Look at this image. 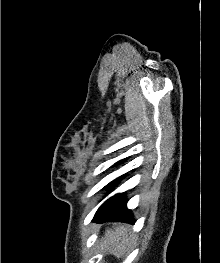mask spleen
<instances>
[{
  "mask_svg": "<svg viewBox=\"0 0 220 263\" xmlns=\"http://www.w3.org/2000/svg\"><path fill=\"white\" fill-rule=\"evenodd\" d=\"M134 241L135 236L130 235L129 227L117 226L114 230H106L102 250L120 258L127 253Z\"/></svg>",
  "mask_w": 220,
  "mask_h": 263,
  "instance_id": "spleen-1",
  "label": "spleen"
}]
</instances>
